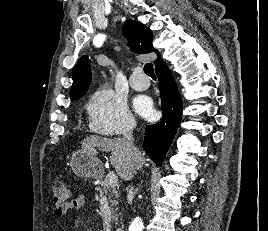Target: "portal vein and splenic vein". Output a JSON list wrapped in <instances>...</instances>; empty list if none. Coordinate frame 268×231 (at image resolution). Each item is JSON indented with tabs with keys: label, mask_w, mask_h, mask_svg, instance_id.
Returning a JSON list of instances; mask_svg holds the SVG:
<instances>
[{
	"label": "portal vein and splenic vein",
	"mask_w": 268,
	"mask_h": 231,
	"mask_svg": "<svg viewBox=\"0 0 268 231\" xmlns=\"http://www.w3.org/2000/svg\"><path fill=\"white\" fill-rule=\"evenodd\" d=\"M106 180L108 181L109 186H115L118 183V177L114 171H109Z\"/></svg>",
	"instance_id": "portal-vein-and-splenic-vein-1"
}]
</instances>
